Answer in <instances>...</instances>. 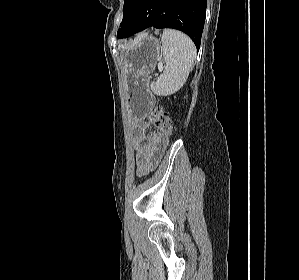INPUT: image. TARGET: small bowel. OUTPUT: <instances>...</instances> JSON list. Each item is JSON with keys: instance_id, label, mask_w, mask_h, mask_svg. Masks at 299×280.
I'll list each match as a JSON object with an SVG mask.
<instances>
[{"instance_id": "c3829d8e", "label": "small bowel", "mask_w": 299, "mask_h": 280, "mask_svg": "<svg viewBox=\"0 0 299 280\" xmlns=\"http://www.w3.org/2000/svg\"><path fill=\"white\" fill-rule=\"evenodd\" d=\"M138 175L148 173L159 161L169 137L163 131L151 130L146 123L133 124Z\"/></svg>"}]
</instances>
